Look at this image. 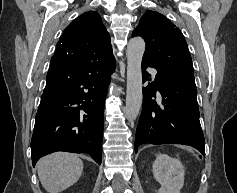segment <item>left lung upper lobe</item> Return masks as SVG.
Here are the masks:
<instances>
[{
  "label": "left lung upper lobe",
  "mask_w": 237,
  "mask_h": 193,
  "mask_svg": "<svg viewBox=\"0 0 237 193\" xmlns=\"http://www.w3.org/2000/svg\"><path fill=\"white\" fill-rule=\"evenodd\" d=\"M132 36L146 42L143 61L161 72L194 81V69L183 34L164 15L148 10Z\"/></svg>",
  "instance_id": "5c2ea615"
}]
</instances>
